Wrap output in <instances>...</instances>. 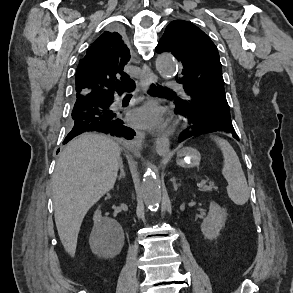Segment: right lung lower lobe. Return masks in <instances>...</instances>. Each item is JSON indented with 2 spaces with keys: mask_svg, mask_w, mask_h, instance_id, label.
<instances>
[{
  "mask_svg": "<svg viewBox=\"0 0 293 293\" xmlns=\"http://www.w3.org/2000/svg\"><path fill=\"white\" fill-rule=\"evenodd\" d=\"M133 89L131 84L126 90ZM113 94L114 92L76 94L71 114L74 126L63 143L66 144L75 136L88 131L108 133L126 139L133 138L134 130L124 126L119 113L109 108L113 102Z\"/></svg>",
  "mask_w": 293,
  "mask_h": 293,
  "instance_id": "obj_1",
  "label": "right lung lower lobe"
}]
</instances>
